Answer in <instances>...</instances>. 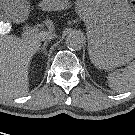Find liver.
I'll list each match as a JSON object with an SVG mask.
<instances>
[{
  "label": "liver",
  "instance_id": "1",
  "mask_svg": "<svg viewBox=\"0 0 135 135\" xmlns=\"http://www.w3.org/2000/svg\"><path fill=\"white\" fill-rule=\"evenodd\" d=\"M0 96L21 97L29 91V67L32 57L41 45V32L23 37L5 33L7 28L0 27ZM47 29L54 31L52 22Z\"/></svg>",
  "mask_w": 135,
  "mask_h": 135
}]
</instances>
